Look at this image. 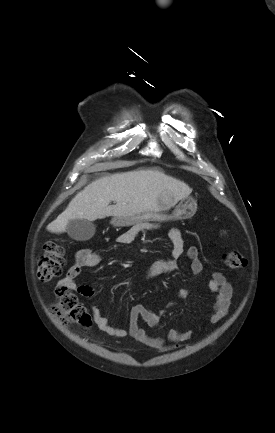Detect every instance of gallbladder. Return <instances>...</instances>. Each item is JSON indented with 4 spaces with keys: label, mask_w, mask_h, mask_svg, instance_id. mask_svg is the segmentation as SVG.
<instances>
[{
    "label": "gallbladder",
    "mask_w": 275,
    "mask_h": 433,
    "mask_svg": "<svg viewBox=\"0 0 275 433\" xmlns=\"http://www.w3.org/2000/svg\"><path fill=\"white\" fill-rule=\"evenodd\" d=\"M95 230V225L91 221L84 219L70 220L66 227L68 235L76 241L91 239L95 234Z\"/></svg>",
    "instance_id": "1"
}]
</instances>
